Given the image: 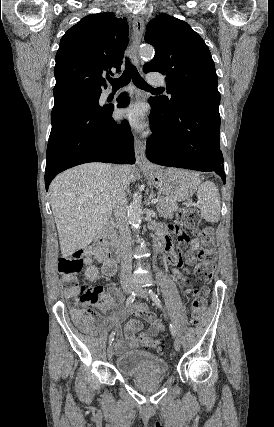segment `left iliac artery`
<instances>
[{"label":"left iliac artery","instance_id":"obj_1","mask_svg":"<svg viewBox=\"0 0 274 427\" xmlns=\"http://www.w3.org/2000/svg\"><path fill=\"white\" fill-rule=\"evenodd\" d=\"M148 292H149V294H150V296H151V298H152L153 302H154V303H155V304H156L160 309H162V303H161V300L159 299L158 295H157L155 292H153L151 289H149V290H148ZM169 328H170V331H171L172 335H173V336H175V335H176L175 327H174V325H173L172 323H170V322H169Z\"/></svg>","mask_w":274,"mask_h":427}]
</instances>
